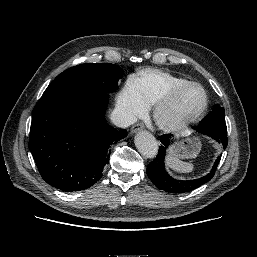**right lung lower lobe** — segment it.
<instances>
[{
    "label": "right lung lower lobe",
    "instance_id": "98d812e1",
    "mask_svg": "<svg viewBox=\"0 0 257 257\" xmlns=\"http://www.w3.org/2000/svg\"><path fill=\"white\" fill-rule=\"evenodd\" d=\"M108 93L91 90L45 95L33 113L29 149L42 178L63 191H80L102 177L110 145L127 135L104 119ZM75 148L66 147L75 131Z\"/></svg>",
    "mask_w": 257,
    "mask_h": 257
}]
</instances>
